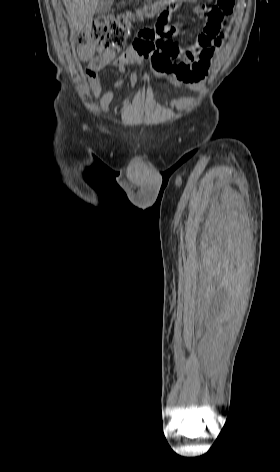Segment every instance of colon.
Returning <instances> with one entry per match:
<instances>
[{
	"mask_svg": "<svg viewBox=\"0 0 280 472\" xmlns=\"http://www.w3.org/2000/svg\"><path fill=\"white\" fill-rule=\"evenodd\" d=\"M182 0H159L147 9V13L158 14V22L169 21L171 13ZM234 0H217L208 9L207 22L221 24L233 11ZM129 16H107L96 18L75 36V42L80 46L94 49H104L111 54L119 52L125 45L129 35Z\"/></svg>",
	"mask_w": 280,
	"mask_h": 472,
	"instance_id": "obj_1",
	"label": "colon"
}]
</instances>
